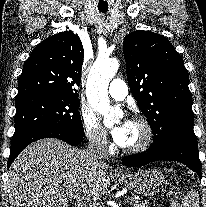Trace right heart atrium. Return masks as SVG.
<instances>
[{
    "label": "right heart atrium",
    "mask_w": 206,
    "mask_h": 207,
    "mask_svg": "<svg viewBox=\"0 0 206 207\" xmlns=\"http://www.w3.org/2000/svg\"><path fill=\"white\" fill-rule=\"evenodd\" d=\"M80 122L89 142L96 148L109 147V139L106 130L101 126L95 114L87 109L80 110Z\"/></svg>",
    "instance_id": "obj_1"
}]
</instances>
